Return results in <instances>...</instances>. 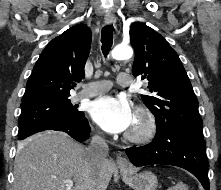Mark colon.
Here are the masks:
<instances>
[{
	"instance_id": "5ec220e1",
	"label": "colon",
	"mask_w": 221,
	"mask_h": 190,
	"mask_svg": "<svg viewBox=\"0 0 221 190\" xmlns=\"http://www.w3.org/2000/svg\"><path fill=\"white\" fill-rule=\"evenodd\" d=\"M171 190H186V188L184 185L179 184V185L172 187Z\"/></svg>"
}]
</instances>
